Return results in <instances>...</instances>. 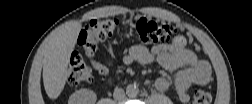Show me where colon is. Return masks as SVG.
I'll list each match as a JSON object with an SVG mask.
<instances>
[{"instance_id": "5ec220e1", "label": "colon", "mask_w": 252, "mask_h": 104, "mask_svg": "<svg viewBox=\"0 0 252 104\" xmlns=\"http://www.w3.org/2000/svg\"><path fill=\"white\" fill-rule=\"evenodd\" d=\"M118 26L116 19H99L86 24L79 33L78 44L81 51L92 57L96 51V45L114 33ZM136 30L140 40L144 44H155L169 41L178 33L176 25L159 22L151 18H140L136 22ZM90 69L84 63L79 53H74L70 59L67 71L68 83L72 86L82 85L92 80ZM211 95L205 90H197L194 93L195 104H209Z\"/></svg>"}]
</instances>
